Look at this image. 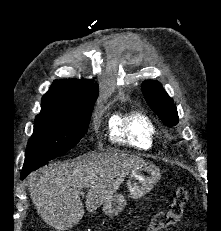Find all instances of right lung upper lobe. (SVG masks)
Listing matches in <instances>:
<instances>
[{"instance_id": "cb5924a9", "label": "right lung upper lobe", "mask_w": 221, "mask_h": 231, "mask_svg": "<svg viewBox=\"0 0 221 231\" xmlns=\"http://www.w3.org/2000/svg\"><path fill=\"white\" fill-rule=\"evenodd\" d=\"M98 85L90 80H55L42 97L41 110H73L94 104Z\"/></svg>"}]
</instances>
